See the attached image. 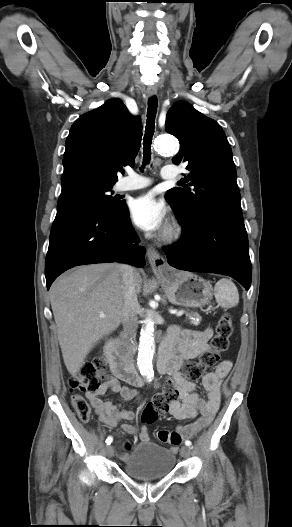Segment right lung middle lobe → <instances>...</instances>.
Instances as JSON below:
<instances>
[{
    "mask_svg": "<svg viewBox=\"0 0 292 527\" xmlns=\"http://www.w3.org/2000/svg\"><path fill=\"white\" fill-rule=\"evenodd\" d=\"M112 187L113 184L103 183L92 178H72L62 182L58 204L64 201L85 202L114 214L120 211L125 203L109 194Z\"/></svg>",
    "mask_w": 292,
    "mask_h": 527,
    "instance_id": "1",
    "label": "right lung middle lobe"
}]
</instances>
